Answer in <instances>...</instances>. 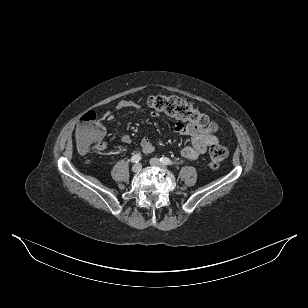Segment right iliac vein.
Masks as SVG:
<instances>
[{"label": "right iliac vein", "instance_id": "1", "mask_svg": "<svg viewBox=\"0 0 308 308\" xmlns=\"http://www.w3.org/2000/svg\"><path fill=\"white\" fill-rule=\"evenodd\" d=\"M141 168H142V165L140 163H137L132 166V171L137 173L141 170Z\"/></svg>", "mask_w": 308, "mask_h": 308}]
</instances>
